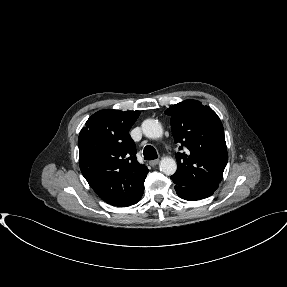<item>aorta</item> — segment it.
Returning <instances> with one entry per match:
<instances>
[{"mask_svg": "<svg viewBox=\"0 0 287 287\" xmlns=\"http://www.w3.org/2000/svg\"><path fill=\"white\" fill-rule=\"evenodd\" d=\"M143 134L151 139H158L163 135L161 123L155 119H146L142 123ZM160 171L165 175H173L177 170V163L173 158L164 157L159 164Z\"/></svg>", "mask_w": 287, "mask_h": 287, "instance_id": "1", "label": "aorta"}]
</instances>
